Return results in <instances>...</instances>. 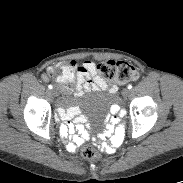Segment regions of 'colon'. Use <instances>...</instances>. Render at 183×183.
Returning <instances> with one entry per match:
<instances>
[{
    "label": "colon",
    "mask_w": 183,
    "mask_h": 183,
    "mask_svg": "<svg viewBox=\"0 0 183 183\" xmlns=\"http://www.w3.org/2000/svg\"><path fill=\"white\" fill-rule=\"evenodd\" d=\"M97 70L105 79L121 84L129 81H135L140 75L138 68L127 61L106 60L97 65ZM58 81H61L60 75L58 77ZM81 153L83 157L88 160L99 159V155L90 144L84 145Z\"/></svg>",
    "instance_id": "obj_1"
}]
</instances>
